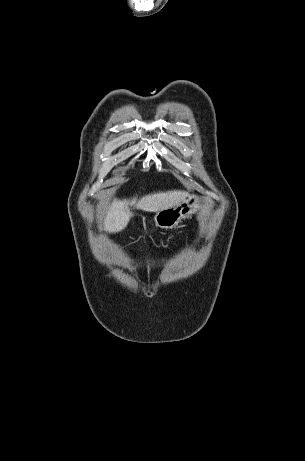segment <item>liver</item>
I'll use <instances>...</instances> for the list:
<instances>
[{
  "mask_svg": "<svg viewBox=\"0 0 305 461\" xmlns=\"http://www.w3.org/2000/svg\"><path fill=\"white\" fill-rule=\"evenodd\" d=\"M186 196L185 191L174 190L149 194L139 200L137 198L132 200L115 199L108 208L103 229L114 233L124 230L132 217L130 207L147 212H158L178 205Z\"/></svg>",
  "mask_w": 305,
  "mask_h": 461,
  "instance_id": "1",
  "label": "liver"
}]
</instances>
